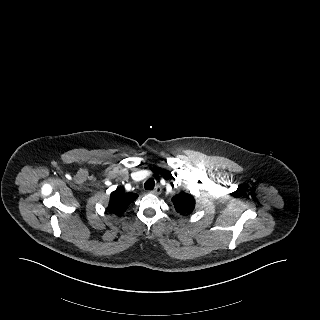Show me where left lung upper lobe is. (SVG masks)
Returning a JSON list of instances; mask_svg holds the SVG:
<instances>
[{"label": "left lung upper lobe", "mask_w": 320, "mask_h": 320, "mask_svg": "<svg viewBox=\"0 0 320 320\" xmlns=\"http://www.w3.org/2000/svg\"><path fill=\"white\" fill-rule=\"evenodd\" d=\"M175 210L181 215H189L195 208V199L191 194L181 192L172 198Z\"/></svg>", "instance_id": "1"}]
</instances>
